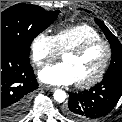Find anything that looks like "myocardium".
<instances>
[{
	"label": "myocardium",
	"mask_w": 122,
	"mask_h": 122,
	"mask_svg": "<svg viewBox=\"0 0 122 122\" xmlns=\"http://www.w3.org/2000/svg\"><path fill=\"white\" fill-rule=\"evenodd\" d=\"M96 45H103L106 49V54H105L103 64H102L101 68L99 69V71L96 73V75L93 76L91 79L83 81V82H76V86L80 89L90 88V87L96 85L97 83H99L103 79L105 73L107 72V70L109 68L110 62H111L112 47H111L110 43L104 39H95V40L86 41V42L80 44L79 46L69 49L68 51L65 52V54L81 56L86 51H88L90 48H92Z\"/></svg>",
	"instance_id": "myocardium-1"
}]
</instances>
